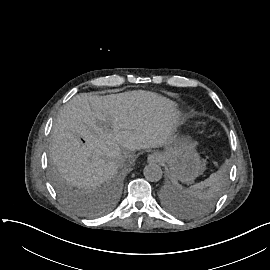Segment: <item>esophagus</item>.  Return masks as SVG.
<instances>
[{
	"label": "esophagus",
	"mask_w": 270,
	"mask_h": 270,
	"mask_svg": "<svg viewBox=\"0 0 270 270\" xmlns=\"http://www.w3.org/2000/svg\"><path fill=\"white\" fill-rule=\"evenodd\" d=\"M160 161V156L158 153H153L148 156L149 163H156Z\"/></svg>",
	"instance_id": "esophagus-1"
}]
</instances>
